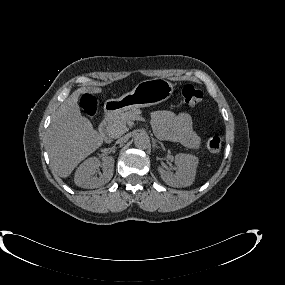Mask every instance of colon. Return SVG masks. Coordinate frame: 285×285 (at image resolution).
<instances>
[{
    "instance_id": "5ec220e1",
    "label": "colon",
    "mask_w": 285,
    "mask_h": 285,
    "mask_svg": "<svg viewBox=\"0 0 285 285\" xmlns=\"http://www.w3.org/2000/svg\"><path fill=\"white\" fill-rule=\"evenodd\" d=\"M203 98L202 92L192 85H186L182 89V99L186 105L194 106L198 104ZM81 105L84 111L92 116L95 113L96 103L91 95H84L81 98ZM222 141L219 136H212L206 142L208 152L215 154L221 149Z\"/></svg>"
}]
</instances>
